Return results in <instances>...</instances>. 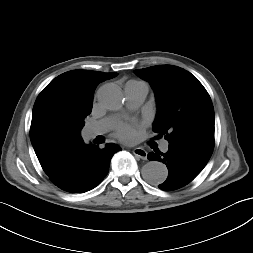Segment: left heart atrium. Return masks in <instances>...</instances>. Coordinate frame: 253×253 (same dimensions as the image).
<instances>
[{
  "mask_svg": "<svg viewBox=\"0 0 253 253\" xmlns=\"http://www.w3.org/2000/svg\"><path fill=\"white\" fill-rule=\"evenodd\" d=\"M116 136L123 141H131L135 137V128L129 124L121 125L117 128Z\"/></svg>",
  "mask_w": 253,
  "mask_h": 253,
  "instance_id": "obj_1",
  "label": "left heart atrium"
}]
</instances>
